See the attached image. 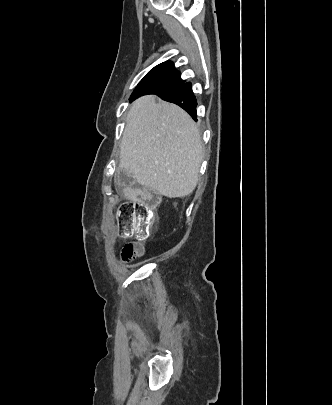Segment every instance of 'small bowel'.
I'll list each match as a JSON object with an SVG mask.
<instances>
[{
  "instance_id": "obj_1",
  "label": "small bowel",
  "mask_w": 332,
  "mask_h": 405,
  "mask_svg": "<svg viewBox=\"0 0 332 405\" xmlns=\"http://www.w3.org/2000/svg\"><path fill=\"white\" fill-rule=\"evenodd\" d=\"M138 182L134 173L126 172L123 168L119 172H113L112 184L114 186H137Z\"/></svg>"
}]
</instances>
